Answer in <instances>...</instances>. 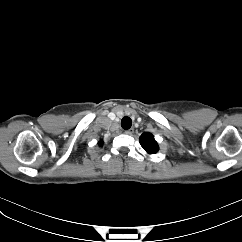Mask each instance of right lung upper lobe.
Returning a JSON list of instances; mask_svg holds the SVG:
<instances>
[{
    "label": "right lung upper lobe",
    "mask_w": 242,
    "mask_h": 242,
    "mask_svg": "<svg viewBox=\"0 0 242 242\" xmlns=\"http://www.w3.org/2000/svg\"><path fill=\"white\" fill-rule=\"evenodd\" d=\"M99 145L102 146V142H99Z\"/></svg>",
    "instance_id": "cb5924a9"
}]
</instances>
